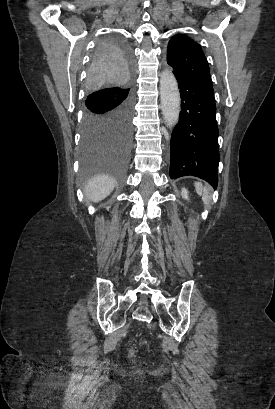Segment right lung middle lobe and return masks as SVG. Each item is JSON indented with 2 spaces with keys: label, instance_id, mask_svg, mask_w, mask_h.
Wrapping results in <instances>:
<instances>
[{
  "label": "right lung middle lobe",
  "instance_id": "dd1d6c3e",
  "mask_svg": "<svg viewBox=\"0 0 275 409\" xmlns=\"http://www.w3.org/2000/svg\"><path fill=\"white\" fill-rule=\"evenodd\" d=\"M135 56V50H129L128 42L116 34L97 41L86 80L79 182L89 181L96 173H112L117 181L124 176L132 147ZM100 187L120 188L121 184Z\"/></svg>",
  "mask_w": 275,
  "mask_h": 409
}]
</instances>
